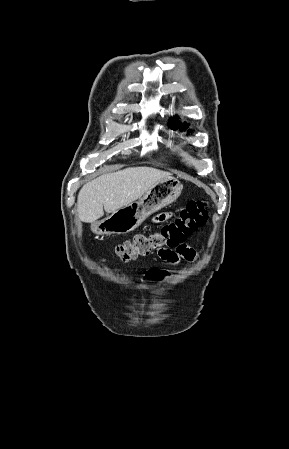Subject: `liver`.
<instances>
[{
  "instance_id": "liver-1",
  "label": "liver",
  "mask_w": 289,
  "mask_h": 449,
  "mask_svg": "<svg viewBox=\"0 0 289 449\" xmlns=\"http://www.w3.org/2000/svg\"><path fill=\"white\" fill-rule=\"evenodd\" d=\"M170 173L150 167H131L102 175L86 183L78 194L77 211L81 221L94 223L141 198L156 182Z\"/></svg>"
}]
</instances>
